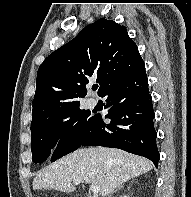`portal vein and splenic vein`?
<instances>
[{"label":"portal vein and splenic vein","instance_id":"obj_1","mask_svg":"<svg viewBox=\"0 0 191 197\" xmlns=\"http://www.w3.org/2000/svg\"><path fill=\"white\" fill-rule=\"evenodd\" d=\"M75 184H79L80 183V180L79 179H75L73 181ZM91 190H92V193H93V197H96V195L99 193L100 191V187L97 186V185H94V184H91L90 186Z\"/></svg>","mask_w":191,"mask_h":197}]
</instances>
